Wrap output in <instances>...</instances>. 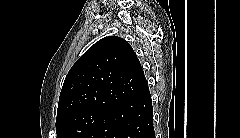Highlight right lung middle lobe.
<instances>
[{
  "instance_id": "dd1d6c3e",
  "label": "right lung middle lobe",
  "mask_w": 240,
  "mask_h": 138,
  "mask_svg": "<svg viewBox=\"0 0 240 138\" xmlns=\"http://www.w3.org/2000/svg\"><path fill=\"white\" fill-rule=\"evenodd\" d=\"M106 113L104 110L88 109L56 119L57 138H86Z\"/></svg>"
}]
</instances>
